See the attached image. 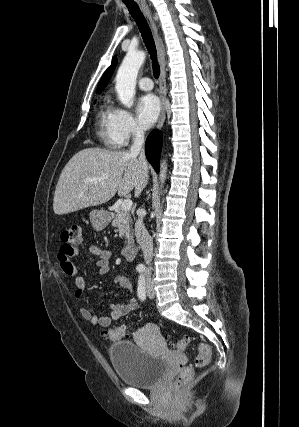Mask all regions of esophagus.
I'll use <instances>...</instances> for the list:
<instances>
[{
  "label": "esophagus",
  "mask_w": 299,
  "mask_h": 427,
  "mask_svg": "<svg viewBox=\"0 0 299 427\" xmlns=\"http://www.w3.org/2000/svg\"><path fill=\"white\" fill-rule=\"evenodd\" d=\"M145 15L150 21L151 27L153 29L156 48H157V54H158V60L160 64V82H159V93H160V99H161V113L160 117L157 123V129H160L165 121L166 118V69H165V47L163 40L161 38L160 32H159V24H158V15L152 13V11L146 6L145 4L141 5Z\"/></svg>",
  "instance_id": "obj_1"
}]
</instances>
